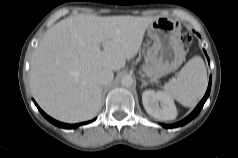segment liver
Masks as SVG:
<instances>
[{
  "mask_svg": "<svg viewBox=\"0 0 238 158\" xmlns=\"http://www.w3.org/2000/svg\"><path fill=\"white\" fill-rule=\"evenodd\" d=\"M156 19L77 15L53 25L31 57L29 78L36 102L62 122L95 117L102 96L99 70H121L137 55L147 27Z\"/></svg>",
  "mask_w": 238,
  "mask_h": 158,
  "instance_id": "6515ba94",
  "label": "liver"
}]
</instances>
